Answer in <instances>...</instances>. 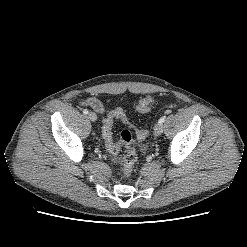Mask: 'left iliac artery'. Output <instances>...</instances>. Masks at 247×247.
Masks as SVG:
<instances>
[{
  "instance_id": "obj_1",
  "label": "left iliac artery",
  "mask_w": 247,
  "mask_h": 247,
  "mask_svg": "<svg viewBox=\"0 0 247 247\" xmlns=\"http://www.w3.org/2000/svg\"><path fill=\"white\" fill-rule=\"evenodd\" d=\"M166 119V116H162L160 119H159V123H163Z\"/></svg>"
}]
</instances>
